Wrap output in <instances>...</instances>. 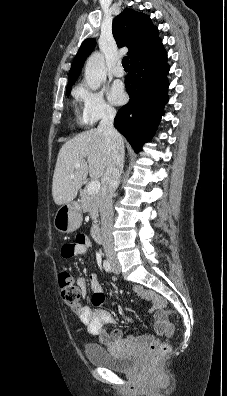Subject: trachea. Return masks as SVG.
<instances>
[{"label":"trachea","mask_w":227,"mask_h":396,"mask_svg":"<svg viewBox=\"0 0 227 396\" xmlns=\"http://www.w3.org/2000/svg\"><path fill=\"white\" fill-rule=\"evenodd\" d=\"M122 65L124 68H129V58L127 56L122 59Z\"/></svg>","instance_id":"obj_1"}]
</instances>
